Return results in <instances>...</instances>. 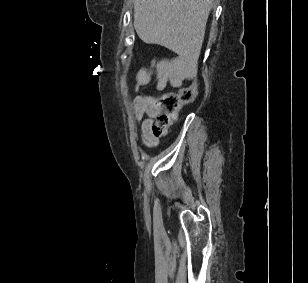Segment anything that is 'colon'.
I'll list each match as a JSON object with an SVG mask.
<instances>
[{
	"label": "colon",
	"mask_w": 308,
	"mask_h": 283,
	"mask_svg": "<svg viewBox=\"0 0 308 283\" xmlns=\"http://www.w3.org/2000/svg\"><path fill=\"white\" fill-rule=\"evenodd\" d=\"M196 75V73H195ZM197 94V83L178 91L167 92L152 99L153 106L158 109L156 121L151 130L154 136L162 137L168 132L180 108L190 103Z\"/></svg>",
	"instance_id": "colon-1"
}]
</instances>
